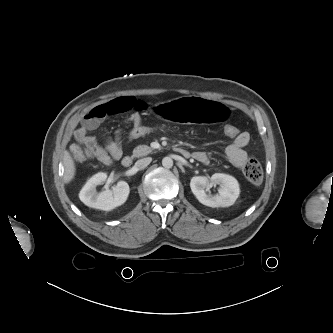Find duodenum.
Wrapping results in <instances>:
<instances>
[{"mask_svg":"<svg viewBox=\"0 0 333 333\" xmlns=\"http://www.w3.org/2000/svg\"><path fill=\"white\" fill-rule=\"evenodd\" d=\"M177 150L185 156L188 155V152L181 149V148H178ZM131 164H132V157L131 156H126L122 159V165L124 167H129Z\"/></svg>","mask_w":333,"mask_h":333,"instance_id":"410a0bca","label":"duodenum"}]
</instances>
